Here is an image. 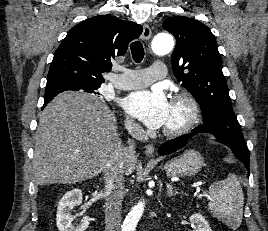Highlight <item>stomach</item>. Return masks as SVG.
I'll return each mask as SVG.
<instances>
[{
    "label": "stomach",
    "mask_w": 268,
    "mask_h": 231,
    "mask_svg": "<svg viewBox=\"0 0 268 231\" xmlns=\"http://www.w3.org/2000/svg\"><path fill=\"white\" fill-rule=\"evenodd\" d=\"M203 165L202 155L195 150H188L181 156L168 161L162 169L169 177H185L197 174Z\"/></svg>",
    "instance_id": "1"
}]
</instances>
